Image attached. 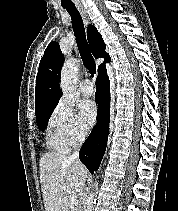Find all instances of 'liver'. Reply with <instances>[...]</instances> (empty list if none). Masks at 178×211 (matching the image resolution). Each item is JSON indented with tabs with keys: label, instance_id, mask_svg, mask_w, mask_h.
Segmentation results:
<instances>
[{
	"label": "liver",
	"instance_id": "liver-1",
	"mask_svg": "<svg viewBox=\"0 0 178 211\" xmlns=\"http://www.w3.org/2000/svg\"><path fill=\"white\" fill-rule=\"evenodd\" d=\"M39 166L45 211H69L68 196L81 193L88 170L80 161L55 152L43 154ZM61 186H66L67 190H62Z\"/></svg>",
	"mask_w": 178,
	"mask_h": 211
}]
</instances>
